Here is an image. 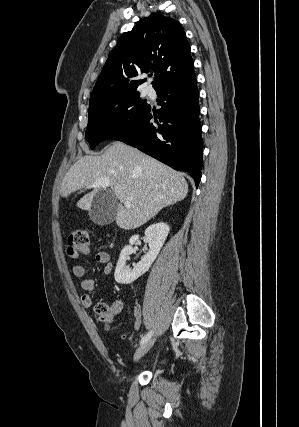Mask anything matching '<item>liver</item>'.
<instances>
[{
    "instance_id": "liver-1",
    "label": "liver",
    "mask_w": 299,
    "mask_h": 427,
    "mask_svg": "<svg viewBox=\"0 0 299 427\" xmlns=\"http://www.w3.org/2000/svg\"><path fill=\"white\" fill-rule=\"evenodd\" d=\"M100 179L109 180L112 193L120 201L115 219L125 230L140 227L188 193L187 181L180 172L134 147L115 142L101 156L80 158L65 174L61 194L66 198L77 190L94 188L77 202V207L89 210L102 190V186H93ZM124 201L131 206H123Z\"/></svg>"
}]
</instances>
